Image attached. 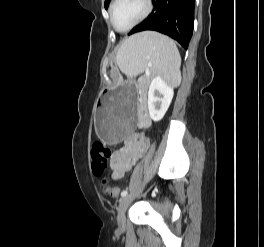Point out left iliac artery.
Instances as JSON below:
<instances>
[{"instance_id":"left-iliac-artery-1","label":"left iliac artery","mask_w":264,"mask_h":247,"mask_svg":"<svg viewBox=\"0 0 264 247\" xmlns=\"http://www.w3.org/2000/svg\"><path fill=\"white\" fill-rule=\"evenodd\" d=\"M126 195H127V191L126 190L122 191L121 196L124 197Z\"/></svg>"}]
</instances>
